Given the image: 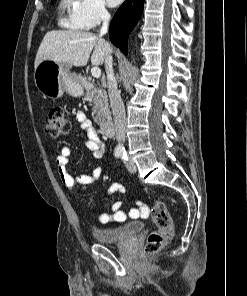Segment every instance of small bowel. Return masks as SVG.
Returning <instances> with one entry per match:
<instances>
[{"label": "small bowel", "instance_id": "c3829d8e", "mask_svg": "<svg viewBox=\"0 0 247 296\" xmlns=\"http://www.w3.org/2000/svg\"><path fill=\"white\" fill-rule=\"evenodd\" d=\"M76 120L81 128L86 131L87 138L85 140V146L92 152L94 160L100 159L102 156L101 145L97 131L92 122L86 114L82 112L77 113ZM70 154V149L68 147H63L60 153L56 156L55 162L60 179L69 191H73L77 188L84 190L102 175L103 169L101 166H96L91 174L72 176L67 172V164L70 159ZM115 193H126L124 186L119 180L113 181L107 191V195H113ZM143 207L144 206H141V208ZM140 213L141 211L138 209L125 211L122 209V203L120 201H115L111 205V213H99L97 215V221L100 224L122 223L126 220L127 215L131 218H137Z\"/></svg>", "mask_w": 247, "mask_h": 296}]
</instances>
